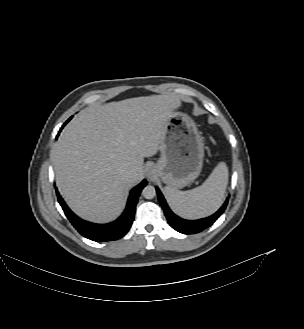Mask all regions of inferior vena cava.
<instances>
[{
    "label": "inferior vena cava",
    "mask_w": 304,
    "mask_h": 329,
    "mask_svg": "<svg viewBox=\"0 0 304 329\" xmlns=\"http://www.w3.org/2000/svg\"><path fill=\"white\" fill-rule=\"evenodd\" d=\"M120 173H121V175H122V177H123L124 179H127V178L130 176V174H131L130 170L127 169V168H123V169H121V170H120Z\"/></svg>",
    "instance_id": "1"
}]
</instances>
